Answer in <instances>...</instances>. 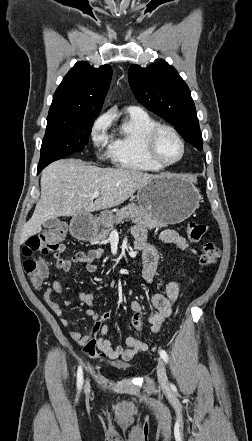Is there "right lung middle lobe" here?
<instances>
[{
    "label": "right lung middle lobe",
    "instance_id": "1",
    "mask_svg": "<svg viewBox=\"0 0 252 441\" xmlns=\"http://www.w3.org/2000/svg\"><path fill=\"white\" fill-rule=\"evenodd\" d=\"M96 117L72 113H49L38 166L45 167L55 160L83 150L88 143Z\"/></svg>",
    "mask_w": 252,
    "mask_h": 441
}]
</instances>
